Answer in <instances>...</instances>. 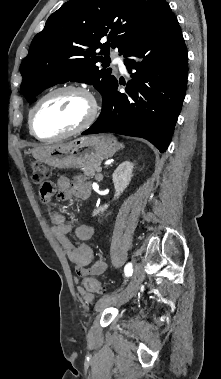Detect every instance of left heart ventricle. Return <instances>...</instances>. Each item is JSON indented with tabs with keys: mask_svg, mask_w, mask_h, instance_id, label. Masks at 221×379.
Instances as JSON below:
<instances>
[{
	"mask_svg": "<svg viewBox=\"0 0 221 379\" xmlns=\"http://www.w3.org/2000/svg\"><path fill=\"white\" fill-rule=\"evenodd\" d=\"M89 111L90 103L80 93L54 94L47 98L35 112V131L42 137L65 133L80 125Z\"/></svg>",
	"mask_w": 221,
	"mask_h": 379,
	"instance_id": "1",
	"label": "left heart ventricle"
}]
</instances>
